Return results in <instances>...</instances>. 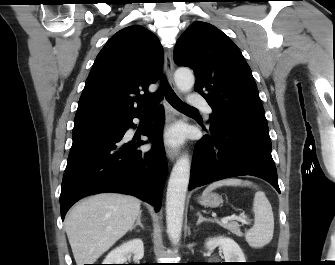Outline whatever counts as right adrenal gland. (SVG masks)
<instances>
[{"instance_id":"right-adrenal-gland-1","label":"right adrenal gland","mask_w":335,"mask_h":265,"mask_svg":"<svg viewBox=\"0 0 335 265\" xmlns=\"http://www.w3.org/2000/svg\"><path fill=\"white\" fill-rule=\"evenodd\" d=\"M137 226H140L142 229H144V226L141 223V213L137 217L136 223L133 225V227L130 229V231H132L133 229H135Z\"/></svg>"}]
</instances>
